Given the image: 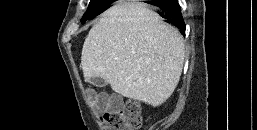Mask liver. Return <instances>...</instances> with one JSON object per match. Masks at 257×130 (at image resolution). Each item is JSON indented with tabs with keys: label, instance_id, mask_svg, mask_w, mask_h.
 Returning <instances> with one entry per match:
<instances>
[{
	"label": "liver",
	"instance_id": "obj_1",
	"mask_svg": "<svg viewBox=\"0 0 257 130\" xmlns=\"http://www.w3.org/2000/svg\"><path fill=\"white\" fill-rule=\"evenodd\" d=\"M184 57L177 29L144 3L118 2L89 31L81 65L86 79L101 77L118 94L158 107L175 90Z\"/></svg>",
	"mask_w": 257,
	"mask_h": 130
}]
</instances>
